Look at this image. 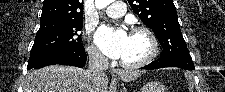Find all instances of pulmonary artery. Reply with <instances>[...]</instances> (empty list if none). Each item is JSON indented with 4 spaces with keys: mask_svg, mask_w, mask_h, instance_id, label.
Wrapping results in <instances>:
<instances>
[{
    "mask_svg": "<svg viewBox=\"0 0 225 92\" xmlns=\"http://www.w3.org/2000/svg\"><path fill=\"white\" fill-rule=\"evenodd\" d=\"M109 3L106 9V15L111 18H119L126 12V5L124 2H117L112 0H107Z\"/></svg>",
    "mask_w": 225,
    "mask_h": 92,
    "instance_id": "obj_1",
    "label": "pulmonary artery"
}]
</instances>
